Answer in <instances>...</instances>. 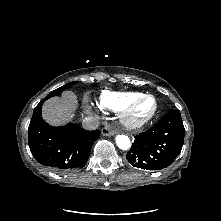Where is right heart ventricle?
I'll return each instance as SVG.
<instances>
[{
  "label": "right heart ventricle",
  "mask_w": 221,
  "mask_h": 221,
  "mask_svg": "<svg viewBox=\"0 0 221 221\" xmlns=\"http://www.w3.org/2000/svg\"><path fill=\"white\" fill-rule=\"evenodd\" d=\"M142 95L140 92H113L103 91L98 99V105L102 109L120 111L124 105Z\"/></svg>",
  "instance_id": "right-heart-ventricle-1"
}]
</instances>
